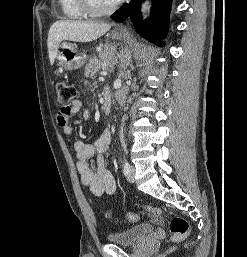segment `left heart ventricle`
I'll use <instances>...</instances> for the list:
<instances>
[{
	"mask_svg": "<svg viewBox=\"0 0 247 257\" xmlns=\"http://www.w3.org/2000/svg\"><path fill=\"white\" fill-rule=\"evenodd\" d=\"M97 8H105L115 0H92Z\"/></svg>",
	"mask_w": 247,
	"mask_h": 257,
	"instance_id": "1",
	"label": "left heart ventricle"
}]
</instances>
